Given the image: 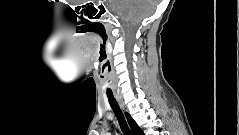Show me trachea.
<instances>
[{"instance_id":"3493384b","label":"trachea","mask_w":239,"mask_h":135,"mask_svg":"<svg viewBox=\"0 0 239 135\" xmlns=\"http://www.w3.org/2000/svg\"><path fill=\"white\" fill-rule=\"evenodd\" d=\"M107 97H108L110 106H111L113 112L115 113V116L118 119V122H119V125H120V128H121L123 134L130 135V130L128 128L127 122H126L124 115H123L116 99L114 98L113 94L107 93Z\"/></svg>"}]
</instances>
